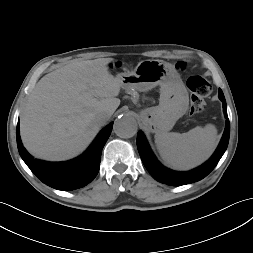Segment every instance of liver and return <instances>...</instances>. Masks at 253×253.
<instances>
[{"label":"liver","instance_id":"obj_1","mask_svg":"<svg viewBox=\"0 0 253 253\" xmlns=\"http://www.w3.org/2000/svg\"><path fill=\"white\" fill-rule=\"evenodd\" d=\"M112 61L72 62L39 80L20 117L21 139L32 155L61 161L87 148L102 126L95 116L111 117L120 105L121 83L108 71Z\"/></svg>","mask_w":253,"mask_h":253}]
</instances>
